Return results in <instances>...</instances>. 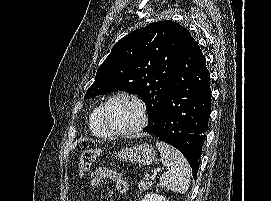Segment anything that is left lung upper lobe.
I'll return each instance as SVG.
<instances>
[{
  "mask_svg": "<svg viewBox=\"0 0 271 201\" xmlns=\"http://www.w3.org/2000/svg\"><path fill=\"white\" fill-rule=\"evenodd\" d=\"M185 28L165 20L137 29L112 48L98 68L85 99L126 91L141 96L148 112V126L158 115L177 68Z\"/></svg>",
  "mask_w": 271,
  "mask_h": 201,
  "instance_id": "5c2ea615",
  "label": "left lung upper lobe"
}]
</instances>
